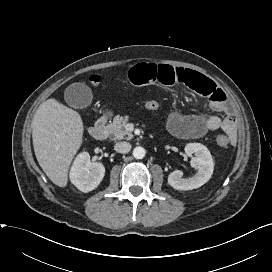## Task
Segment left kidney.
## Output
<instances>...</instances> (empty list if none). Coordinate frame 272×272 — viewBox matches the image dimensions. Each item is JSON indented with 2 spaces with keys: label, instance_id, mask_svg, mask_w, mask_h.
Segmentation results:
<instances>
[{
  "label": "left kidney",
  "instance_id": "1",
  "mask_svg": "<svg viewBox=\"0 0 272 272\" xmlns=\"http://www.w3.org/2000/svg\"><path fill=\"white\" fill-rule=\"evenodd\" d=\"M185 153L191 157L190 164L198 172L188 178H183V172L173 171L168 176V183L176 190H192L204 185L212 176L214 163L210 151L200 143H189L185 146ZM194 155V157H193Z\"/></svg>",
  "mask_w": 272,
  "mask_h": 272
}]
</instances>
